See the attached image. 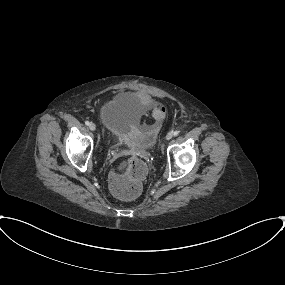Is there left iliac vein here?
<instances>
[{"instance_id":"4c4485c4","label":"left iliac vein","mask_w":285,"mask_h":285,"mask_svg":"<svg viewBox=\"0 0 285 285\" xmlns=\"http://www.w3.org/2000/svg\"><path fill=\"white\" fill-rule=\"evenodd\" d=\"M173 137V132H169L167 135H166V140H170L172 139Z\"/></svg>"}]
</instances>
